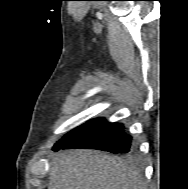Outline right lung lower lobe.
Wrapping results in <instances>:
<instances>
[{
	"mask_svg": "<svg viewBox=\"0 0 188 189\" xmlns=\"http://www.w3.org/2000/svg\"><path fill=\"white\" fill-rule=\"evenodd\" d=\"M67 148L99 149L111 153L132 154L135 151L131 136L120 123L95 118L63 136L53 147L54 151Z\"/></svg>",
	"mask_w": 188,
	"mask_h": 189,
	"instance_id": "obj_1",
	"label": "right lung lower lobe"
}]
</instances>
